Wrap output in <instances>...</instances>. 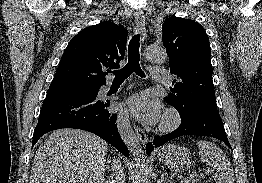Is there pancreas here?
I'll use <instances>...</instances> for the list:
<instances>
[{"instance_id":"1","label":"pancreas","mask_w":262,"mask_h":183,"mask_svg":"<svg viewBox=\"0 0 262 183\" xmlns=\"http://www.w3.org/2000/svg\"><path fill=\"white\" fill-rule=\"evenodd\" d=\"M184 183H198V182L194 180L193 178H190V179L185 180Z\"/></svg>"}]
</instances>
